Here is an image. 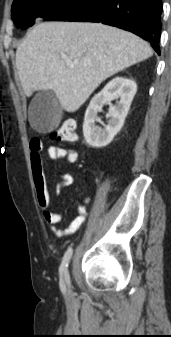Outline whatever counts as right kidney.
Returning <instances> with one entry per match:
<instances>
[{"label":"right kidney","instance_id":"right-kidney-1","mask_svg":"<svg viewBox=\"0 0 171 337\" xmlns=\"http://www.w3.org/2000/svg\"><path fill=\"white\" fill-rule=\"evenodd\" d=\"M137 91L135 81L124 77L112 79L97 95H95L85 113L83 134L86 142L95 148L107 146L120 131ZM119 99L106 115L108 124L101 128L95 125L98 112L104 104Z\"/></svg>","mask_w":171,"mask_h":337}]
</instances>
